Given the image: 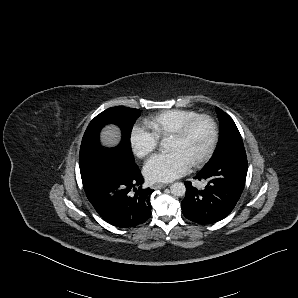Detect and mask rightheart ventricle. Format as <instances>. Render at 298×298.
I'll use <instances>...</instances> for the list:
<instances>
[{
	"instance_id": "obj_1",
	"label": "right heart ventricle",
	"mask_w": 298,
	"mask_h": 298,
	"mask_svg": "<svg viewBox=\"0 0 298 298\" xmlns=\"http://www.w3.org/2000/svg\"><path fill=\"white\" fill-rule=\"evenodd\" d=\"M198 115L197 111L191 109H172L158 112L154 116L146 118L144 122L159 139H163L179 124Z\"/></svg>"
}]
</instances>
